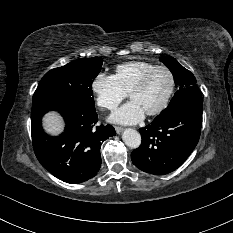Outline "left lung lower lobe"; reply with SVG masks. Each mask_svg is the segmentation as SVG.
Segmentation results:
<instances>
[{"mask_svg":"<svg viewBox=\"0 0 233 233\" xmlns=\"http://www.w3.org/2000/svg\"><path fill=\"white\" fill-rule=\"evenodd\" d=\"M203 98H192L165 118L139 129L142 143L131 153L133 164L154 175L180 167L196 147L202 127Z\"/></svg>","mask_w":233,"mask_h":233,"instance_id":"left-lung-lower-lobe-1","label":"left lung lower lobe"}]
</instances>
